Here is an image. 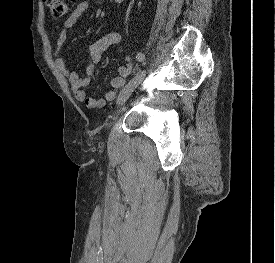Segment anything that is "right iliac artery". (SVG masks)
Returning a JSON list of instances; mask_svg holds the SVG:
<instances>
[{"label":"right iliac artery","mask_w":275,"mask_h":263,"mask_svg":"<svg viewBox=\"0 0 275 263\" xmlns=\"http://www.w3.org/2000/svg\"><path fill=\"white\" fill-rule=\"evenodd\" d=\"M137 61L142 62L145 59V56L143 53H138L136 56Z\"/></svg>","instance_id":"82829eb1"}]
</instances>
